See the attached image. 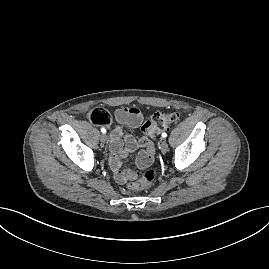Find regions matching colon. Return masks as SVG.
Segmentation results:
<instances>
[{
    "label": "colon",
    "instance_id": "1",
    "mask_svg": "<svg viewBox=\"0 0 269 269\" xmlns=\"http://www.w3.org/2000/svg\"><path fill=\"white\" fill-rule=\"evenodd\" d=\"M178 113L176 112H157L144 123L142 131L148 137H154L161 131L169 129L177 120ZM89 120L97 126H109L112 122L110 113L102 107H96L88 113ZM156 177V172L153 169H147L138 178L130 183V188L140 190L148 187L153 183Z\"/></svg>",
    "mask_w": 269,
    "mask_h": 269
}]
</instances>
